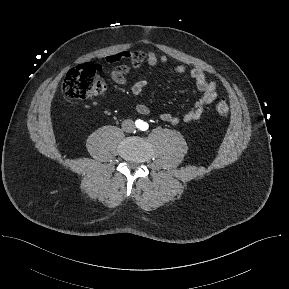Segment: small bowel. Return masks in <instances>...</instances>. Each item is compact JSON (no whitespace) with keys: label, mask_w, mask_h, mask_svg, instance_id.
Segmentation results:
<instances>
[{"label":"small bowel","mask_w":289,"mask_h":289,"mask_svg":"<svg viewBox=\"0 0 289 289\" xmlns=\"http://www.w3.org/2000/svg\"><path fill=\"white\" fill-rule=\"evenodd\" d=\"M122 60H127L128 64H120L115 66L111 71V79L119 85L127 84V76L135 69L139 68L142 64L146 63L150 67H156L159 64H166L167 57L164 55H158L153 51H121L105 57L104 61L100 63L116 64ZM172 71L178 74H184L187 69L184 65H174ZM190 76L195 82L196 88L202 93L201 97L194 103L191 109L186 112L182 121L185 123H191L199 120L206 108L211 105L218 97L217 84L212 80H208L204 71L199 68H193L189 71ZM147 86V81L139 80L131 86V91L134 95H139ZM137 113L141 115H147L150 109L145 104H138L136 106ZM159 117L164 122L176 125L180 122V118L177 115L169 112H161Z\"/></svg>","instance_id":"obj_1"}]
</instances>
